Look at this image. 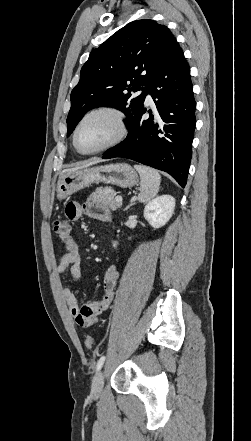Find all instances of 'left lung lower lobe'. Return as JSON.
<instances>
[{
  "label": "left lung lower lobe",
  "instance_id": "left-lung-lower-lobe-1",
  "mask_svg": "<svg viewBox=\"0 0 251 441\" xmlns=\"http://www.w3.org/2000/svg\"><path fill=\"white\" fill-rule=\"evenodd\" d=\"M147 94L153 98L157 112L146 118L143 105L128 124L126 139L107 150L102 158L132 159L169 173L185 187L196 124V102L190 68L178 44L147 84Z\"/></svg>",
  "mask_w": 251,
  "mask_h": 441
}]
</instances>
